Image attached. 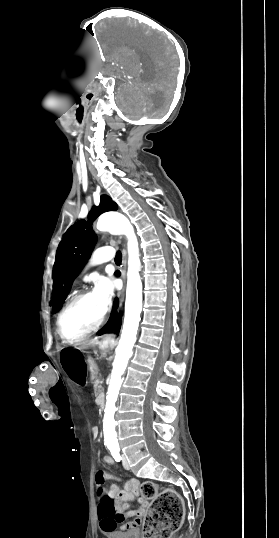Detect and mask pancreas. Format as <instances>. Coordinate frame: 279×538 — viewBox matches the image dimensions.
I'll return each mask as SVG.
<instances>
[{
	"instance_id": "obj_1",
	"label": "pancreas",
	"mask_w": 279,
	"mask_h": 538,
	"mask_svg": "<svg viewBox=\"0 0 279 538\" xmlns=\"http://www.w3.org/2000/svg\"><path fill=\"white\" fill-rule=\"evenodd\" d=\"M102 392H104V387H102V381L100 379H97L95 381V395L97 397H100L102 395Z\"/></svg>"
}]
</instances>
